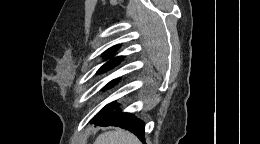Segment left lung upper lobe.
Segmentation results:
<instances>
[{"label":"left lung upper lobe","mask_w":260,"mask_h":144,"mask_svg":"<svg viewBox=\"0 0 260 144\" xmlns=\"http://www.w3.org/2000/svg\"><path fill=\"white\" fill-rule=\"evenodd\" d=\"M118 49V45L111 47L110 49H108L104 55L109 58L110 55H112L116 50ZM122 60V56H118V57H114L112 59H110L109 61H107L99 70L97 73H101L104 71H107L111 68H113L114 66H116L120 61ZM117 82V79L109 82L106 87H111L113 86L115 83Z\"/></svg>","instance_id":"5c2ea615"}]
</instances>
